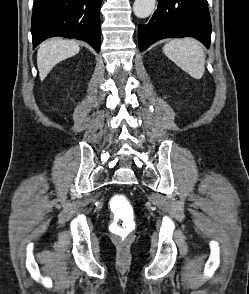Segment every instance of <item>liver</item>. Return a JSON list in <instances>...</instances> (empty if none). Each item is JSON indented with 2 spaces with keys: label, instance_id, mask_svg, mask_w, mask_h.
<instances>
[{
  "label": "liver",
  "instance_id": "1",
  "mask_svg": "<svg viewBox=\"0 0 249 294\" xmlns=\"http://www.w3.org/2000/svg\"><path fill=\"white\" fill-rule=\"evenodd\" d=\"M79 50V45L72 40L54 38L43 42L37 53L40 80L43 81L56 64L76 55Z\"/></svg>",
  "mask_w": 249,
  "mask_h": 294
}]
</instances>
